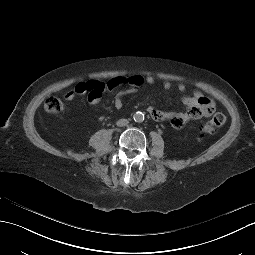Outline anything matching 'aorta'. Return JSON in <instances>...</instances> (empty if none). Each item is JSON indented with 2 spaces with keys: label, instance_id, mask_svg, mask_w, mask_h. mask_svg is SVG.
I'll return each mask as SVG.
<instances>
[{
  "label": "aorta",
  "instance_id": "762f6f07",
  "mask_svg": "<svg viewBox=\"0 0 255 255\" xmlns=\"http://www.w3.org/2000/svg\"><path fill=\"white\" fill-rule=\"evenodd\" d=\"M133 119L137 123H141L144 121V114L142 112H136L133 115Z\"/></svg>",
  "mask_w": 255,
  "mask_h": 255
}]
</instances>
